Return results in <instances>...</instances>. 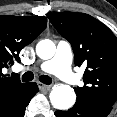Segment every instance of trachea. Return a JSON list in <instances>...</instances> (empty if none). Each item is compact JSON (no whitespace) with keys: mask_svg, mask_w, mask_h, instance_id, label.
I'll use <instances>...</instances> for the list:
<instances>
[{"mask_svg":"<svg viewBox=\"0 0 117 117\" xmlns=\"http://www.w3.org/2000/svg\"><path fill=\"white\" fill-rule=\"evenodd\" d=\"M33 78H34V74L30 71H28L22 75L23 82L31 81V80H33ZM39 80H40V82H42L46 85H50L52 83V79L47 75L39 76Z\"/></svg>","mask_w":117,"mask_h":117,"instance_id":"3493384b","label":"trachea"}]
</instances>
